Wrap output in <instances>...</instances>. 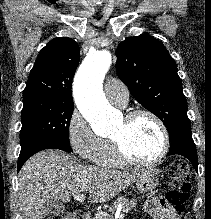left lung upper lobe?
<instances>
[{
    "instance_id": "left-lung-upper-lobe-1",
    "label": "left lung upper lobe",
    "mask_w": 211,
    "mask_h": 219,
    "mask_svg": "<svg viewBox=\"0 0 211 219\" xmlns=\"http://www.w3.org/2000/svg\"><path fill=\"white\" fill-rule=\"evenodd\" d=\"M116 71L133 97L167 127L170 138L191 128L177 66L162 42L142 34L122 41Z\"/></svg>"
}]
</instances>
